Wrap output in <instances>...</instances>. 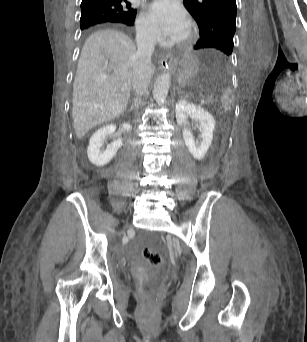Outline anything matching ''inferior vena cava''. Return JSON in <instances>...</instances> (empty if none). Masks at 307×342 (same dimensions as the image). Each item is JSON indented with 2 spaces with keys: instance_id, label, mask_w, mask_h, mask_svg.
<instances>
[{
  "instance_id": "602c4592",
  "label": "inferior vena cava",
  "mask_w": 307,
  "mask_h": 342,
  "mask_svg": "<svg viewBox=\"0 0 307 342\" xmlns=\"http://www.w3.org/2000/svg\"><path fill=\"white\" fill-rule=\"evenodd\" d=\"M136 42L138 50L132 56V86L136 96L140 98L147 92L154 74L151 56L154 52L156 36L151 32H141V34H137Z\"/></svg>"
}]
</instances>
